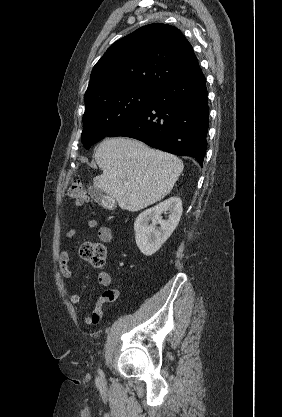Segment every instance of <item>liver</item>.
Wrapping results in <instances>:
<instances>
[{
	"label": "liver",
	"mask_w": 282,
	"mask_h": 417,
	"mask_svg": "<svg viewBox=\"0 0 282 417\" xmlns=\"http://www.w3.org/2000/svg\"><path fill=\"white\" fill-rule=\"evenodd\" d=\"M95 160L103 172L94 176V186L114 196L123 211H141L164 198L184 168L178 156L128 136L102 140Z\"/></svg>",
	"instance_id": "obj_1"
}]
</instances>
